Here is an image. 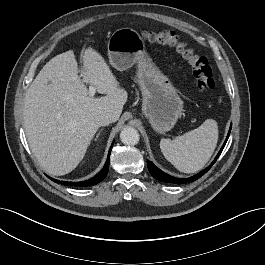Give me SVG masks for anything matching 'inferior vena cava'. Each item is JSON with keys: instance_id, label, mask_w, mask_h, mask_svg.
Wrapping results in <instances>:
<instances>
[{"instance_id": "obj_1", "label": "inferior vena cava", "mask_w": 265, "mask_h": 265, "mask_svg": "<svg viewBox=\"0 0 265 265\" xmlns=\"http://www.w3.org/2000/svg\"><path fill=\"white\" fill-rule=\"evenodd\" d=\"M95 122L98 126H107L114 122V117L111 114L104 112L96 116Z\"/></svg>"}]
</instances>
